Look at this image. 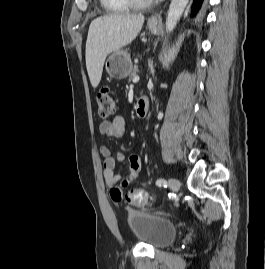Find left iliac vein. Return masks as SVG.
I'll list each match as a JSON object with an SVG mask.
<instances>
[{"label": "left iliac vein", "instance_id": "obj_1", "mask_svg": "<svg viewBox=\"0 0 265 269\" xmlns=\"http://www.w3.org/2000/svg\"><path fill=\"white\" fill-rule=\"evenodd\" d=\"M168 185L173 192H178L180 189V182L176 178H170Z\"/></svg>", "mask_w": 265, "mask_h": 269}]
</instances>
